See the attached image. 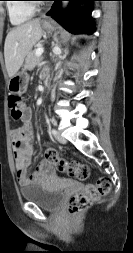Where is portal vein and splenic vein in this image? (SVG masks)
Listing matches in <instances>:
<instances>
[{"instance_id":"portal-vein-and-splenic-vein-1","label":"portal vein and splenic vein","mask_w":133,"mask_h":253,"mask_svg":"<svg viewBox=\"0 0 133 253\" xmlns=\"http://www.w3.org/2000/svg\"><path fill=\"white\" fill-rule=\"evenodd\" d=\"M44 52V48L43 47H39V48H37V50H36V56H41L42 55V53Z\"/></svg>"}]
</instances>
